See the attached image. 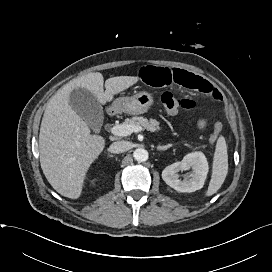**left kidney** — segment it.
I'll list each match as a JSON object with an SVG mask.
<instances>
[{
  "instance_id": "1",
  "label": "left kidney",
  "mask_w": 272,
  "mask_h": 272,
  "mask_svg": "<svg viewBox=\"0 0 272 272\" xmlns=\"http://www.w3.org/2000/svg\"><path fill=\"white\" fill-rule=\"evenodd\" d=\"M192 168L189 178L179 179L178 172ZM208 162L202 152H192L184 156L180 162L167 166L162 172V178L170 187L178 192H194L203 187L207 173Z\"/></svg>"
}]
</instances>
